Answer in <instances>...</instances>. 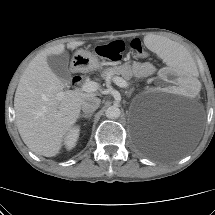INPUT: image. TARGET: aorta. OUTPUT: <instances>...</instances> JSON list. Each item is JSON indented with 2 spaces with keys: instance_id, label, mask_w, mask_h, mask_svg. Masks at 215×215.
Instances as JSON below:
<instances>
[{
  "instance_id": "obj_1",
  "label": "aorta",
  "mask_w": 215,
  "mask_h": 215,
  "mask_svg": "<svg viewBox=\"0 0 215 215\" xmlns=\"http://www.w3.org/2000/svg\"><path fill=\"white\" fill-rule=\"evenodd\" d=\"M120 114H121V110L116 105L108 107L105 111V115L109 119H117L120 117Z\"/></svg>"
}]
</instances>
